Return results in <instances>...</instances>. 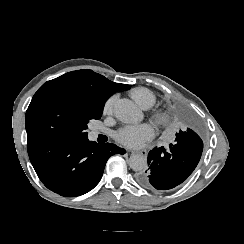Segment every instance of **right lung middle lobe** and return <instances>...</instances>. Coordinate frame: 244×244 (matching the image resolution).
I'll use <instances>...</instances> for the list:
<instances>
[{
  "instance_id": "1",
  "label": "right lung middle lobe",
  "mask_w": 244,
  "mask_h": 244,
  "mask_svg": "<svg viewBox=\"0 0 244 244\" xmlns=\"http://www.w3.org/2000/svg\"><path fill=\"white\" fill-rule=\"evenodd\" d=\"M105 100L88 86L58 77L35 93L26 112L28 135L87 137L88 122L100 119Z\"/></svg>"
}]
</instances>
